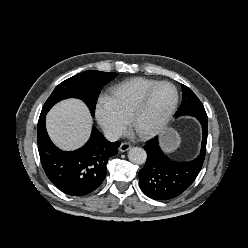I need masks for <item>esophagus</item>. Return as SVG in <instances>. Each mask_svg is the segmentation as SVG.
Here are the masks:
<instances>
[{
  "label": "esophagus",
  "instance_id": "esophagus-1",
  "mask_svg": "<svg viewBox=\"0 0 248 248\" xmlns=\"http://www.w3.org/2000/svg\"><path fill=\"white\" fill-rule=\"evenodd\" d=\"M131 147V144L128 143V142H123L121 143L120 147H119V150L120 152H126L127 150H129Z\"/></svg>",
  "mask_w": 248,
  "mask_h": 248
}]
</instances>
